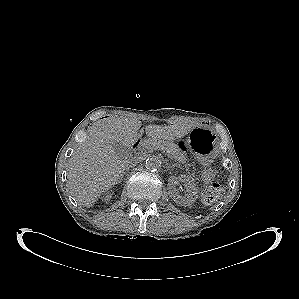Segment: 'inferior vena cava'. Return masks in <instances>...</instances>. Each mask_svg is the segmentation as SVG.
I'll list each match as a JSON object with an SVG mask.
<instances>
[{
	"mask_svg": "<svg viewBox=\"0 0 299 299\" xmlns=\"http://www.w3.org/2000/svg\"><path fill=\"white\" fill-rule=\"evenodd\" d=\"M137 164V161L136 160H131V161H128L127 164H126V168H129V167H135Z\"/></svg>",
	"mask_w": 299,
	"mask_h": 299,
	"instance_id": "inferior-vena-cava-1",
	"label": "inferior vena cava"
}]
</instances>
